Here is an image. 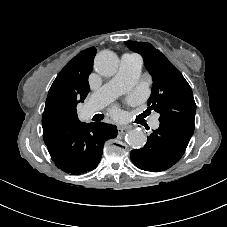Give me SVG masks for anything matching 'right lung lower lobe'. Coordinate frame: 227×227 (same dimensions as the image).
<instances>
[{"mask_svg": "<svg viewBox=\"0 0 227 227\" xmlns=\"http://www.w3.org/2000/svg\"><path fill=\"white\" fill-rule=\"evenodd\" d=\"M117 136L114 125L81 123L46 144L55 165L66 173L82 174L95 169L107 139Z\"/></svg>", "mask_w": 227, "mask_h": 227, "instance_id": "1", "label": "right lung lower lobe"}]
</instances>
